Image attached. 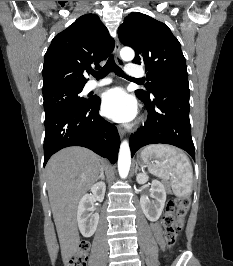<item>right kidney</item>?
Wrapping results in <instances>:
<instances>
[{"mask_svg":"<svg viewBox=\"0 0 233 266\" xmlns=\"http://www.w3.org/2000/svg\"><path fill=\"white\" fill-rule=\"evenodd\" d=\"M106 185L103 182L96 183L91 187L92 195H84L78 204L77 221L81 234L84 237H91L97 228L99 214L93 212V201L104 199Z\"/></svg>","mask_w":233,"mask_h":266,"instance_id":"ca27d5eb","label":"right kidney"}]
</instances>
